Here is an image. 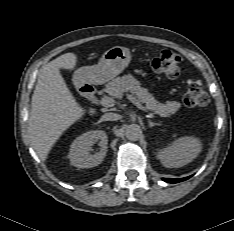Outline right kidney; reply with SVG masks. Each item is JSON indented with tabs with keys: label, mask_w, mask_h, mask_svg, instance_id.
Returning a JSON list of instances; mask_svg holds the SVG:
<instances>
[{
	"label": "right kidney",
	"mask_w": 234,
	"mask_h": 231,
	"mask_svg": "<svg viewBox=\"0 0 234 231\" xmlns=\"http://www.w3.org/2000/svg\"><path fill=\"white\" fill-rule=\"evenodd\" d=\"M98 142L99 152L90 154L93 144ZM108 137L102 130H93L77 137L70 146L69 159L73 166L91 168L99 165L107 152Z\"/></svg>",
	"instance_id": "ca27d5eb"
}]
</instances>
